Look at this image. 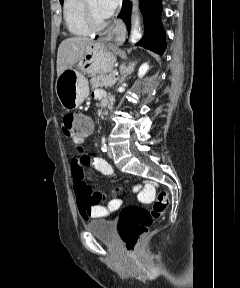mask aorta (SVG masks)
Returning a JSON list of instances; mask_svg holds the SVG:
<instances>
[{
    "label": "aorta",
    "mask_w": 240,
    "mask_h": 288,
    "mask_svg": "<svg viewBox=\"0 0 240 288\" xmlns=\"http://www.w3.org/2000/svg\"><path fill=\"white\" fill-rule=\"evenodd\" d=\"M134 6L137 4V0H132ZM142 37L141 32H140V22H139V17L136 13H133L132 17V30L130 34V41L132 43L137 42L140 40Z\"/></svg>",
    "instance_id": "1"
}]
</instances>
